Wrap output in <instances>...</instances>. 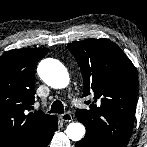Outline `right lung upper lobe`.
Here are the masks:
<instances>
[{
	"label": "right lung upper lobe",
	"instance_id": "right-lung-upper-lobe-1",
	"mask_svg": "<svg viewBox=\"0 0 147 147\" xmlns=\"http://www.w3.org/2000/svg\"><path fill=\"white\" fill-rule=\"evenodd\" d=\"M48 51L14 49L0 57V147H25L50 130L56 117L31 111L35 66Z\"/></svg>",
	"mask_w": 147,
	"mask_h": 147
}]
</instances>
